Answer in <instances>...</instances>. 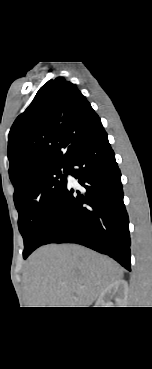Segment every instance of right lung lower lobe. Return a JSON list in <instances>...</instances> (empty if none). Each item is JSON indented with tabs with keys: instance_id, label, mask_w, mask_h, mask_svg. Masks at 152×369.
Returning <instances> with one entry per match:
<instances>
[{
	"instance_id": "obj_1",
	"label": "right lung lower lobe",
	"mask_w": 152,
	"mask_h": 369,
	"mask_svg": "<svg viewBox=\"0 0 152 369\" xmlns=\"http://www.w3.org/2000/svg\"><path fill=\"white\" fill-rule=\"evenodd\" d=\"M67 165V174L78 179L82 189L66 185L41 245L81 244L130 271L131 241L121 173L105 130L82 145Z\"/></svg>"
}]
</instances>
